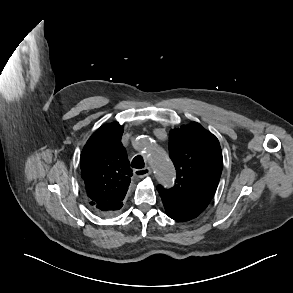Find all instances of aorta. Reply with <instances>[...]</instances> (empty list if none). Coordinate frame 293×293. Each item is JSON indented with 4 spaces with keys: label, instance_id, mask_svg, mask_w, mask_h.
<instances>
[{
    "label": "aorta",
    "instance_id": "1",
    "mask_svg": "<svg viewBox=\"0 0 293 293\" xmlns=\"http://www.w3.org/2000/svg\"><path fill=\"white\" fill-rule=\"evenodd\" d=\"M142 150L153 167L157 181L164 187H170L175 179V169L168 154L150 139L144 140Z\"/></svg>",
    "mask_w": 293,
    "mask_h": 293
}]
</instances>
